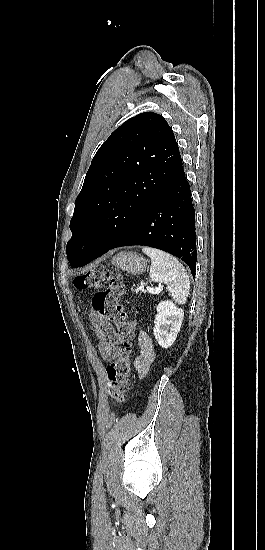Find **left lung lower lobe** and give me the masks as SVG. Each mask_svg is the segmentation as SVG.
I'll list each match as a JSON object with an SVG mask.
<instances>
[{"instance_id": "obj_1", "label": "left lung lower lobe", "mask_w": 265, "mask_h": 550, "mask_svg": "<svg viewBox=\"0 0 265 550\" xmlns=\"http://www.w3.org/2000/svg\"><path fill=\"white\" fill-rule=\"evenodd\" d=\"M130 245L150 246L171 253L183 260L195 276V210L182 165L147 208L107 250L88 256L79 267L110 249Z\"/></svg>"}]
</instances>
